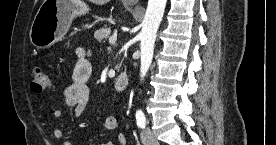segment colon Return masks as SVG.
<instances>
[{"instance_id":"colon-1","label":"colon","mask_w":276,"mask_h":145,"mask_svg":"<svg viewBox=\"0 0 276 145\" xmlns=\"http://www.w3.org/2000/svg\"><path fill=\"white\" fill-rule=\"evenodd\" d=\"M30 78L31 88L36 93H41L50 86L49 77L41 67H33L30 71Z\"/></svg>"}]
</instances>
